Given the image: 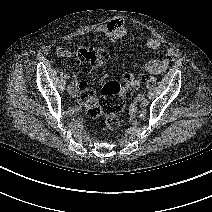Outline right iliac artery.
Returning <instances> with one entry per match:
<instances>
[{
  "instance_id": "1",
  "label": "right iliac artery",
  "mask_w": 212,
  "mask_h": 212,
  "mask_svg": "<svg viewBox=\"0 0 212 212\" xmlns=\"http://www.w3.org/2000/svg\"><path fill=\"white\" fill-rule=\"evenodd\" d=\"M72 88H73V87H72V85L70 84V85L68 86V91H70Z\"/></svg>"
}]
</instances>
